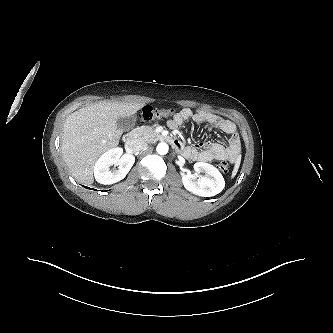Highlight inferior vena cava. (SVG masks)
I'll list each match as a JSON object with an SVG mask.
<instances>
[{
  "mask_svg": "<svg viewBox=\"0 0 333 333\" xmlns=\"http://www.w3.org/2000/svg\"><path fill=\"white\" fill-rule=\"evenodd\" d=\"M147 146V142L143 139H135L126 144V149L129 152H137L143 150Z\"/></svg>",
  "mask_w": 333,
  "mask_h": 333,
  "instance_id": "inferior-vena-cava-1",
  "label": "inferior vena cava"
}]
</instances>
